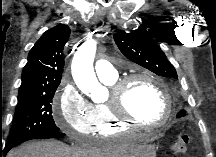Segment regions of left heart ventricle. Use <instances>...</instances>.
I'll list each match as a JSON object with an SVG mask.
<instances>
[{"label": "left heart ventricle", "mask_w": 216, "mask_h": 157, "mask_svg": "<svg viewBox=\"0 0 216 157\" xmlns=\"http://www.w3.org/2000/svg\"><path fill=\"white\" fill-rule=\"evenodd\" d=\"M127 108L135 118L146 122H158L165 113L162 93L154 84L143 79L129 85Z\"/></svg>", "instance_id": "obj_1"}]
</instances>
